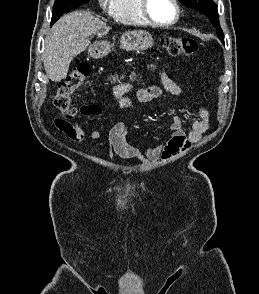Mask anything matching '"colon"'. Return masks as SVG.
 <instances>
[{
	"instance_id": "1",
	"label": "colon",
	"mask_w": 259,
	"mask_h": 294,
	"mask_svg": "<svg viewBox=\"0 0 259 294\" xmlns=\"http://www.w3.org/2000/svg\"><path fill=\"white\" fill-rule=\"evenodd\" d=\"M162 45L172 56L192 55L199 48V44L196 40L186 37H166L162 40ZM90 74V67L88 65H82L72 71L65 80L59 84L54 104L64 117L72 118L79 112V109L73 103L72 96ZM132 79L135 78L133 77Z\"/></svg>"
}]
</instances>
